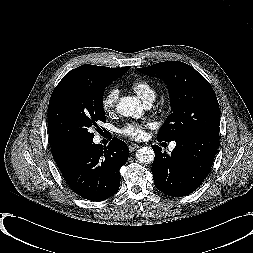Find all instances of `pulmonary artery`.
<instances>
[{"label":"pulmonary artery","instance_id":"e3ab8cb5","mask_svg":"<svg viewBox=\"0 0 253 253\" xmlns=\"http://www.w3.org/2000/svg\"><path fill=\"white\" fill-rule=\"evenodd\" d=\"M151 104H152V103L149 102V103H146L145 105H146L147 108H149V107L151 106ZM175 145H176V143H175V142H172V143L170 144V146H169L170 149H173V148L175 147Z\"/></svg>","mask_w":253,"mask_h":253}]
</instances>
